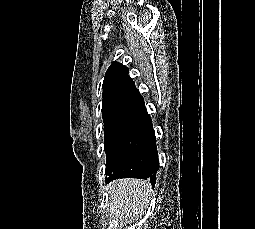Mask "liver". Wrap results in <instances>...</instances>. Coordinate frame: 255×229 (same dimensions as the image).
<instances>
[{
	"label": "liver",
	"mask_w": 255,
	"mask_h": 229,
	"mask_svg": "<svg viewBox=\"0 0 255 229\" xmlns=\"http://www.w3.org/2000/svg\"><path fill=\"white\" fill-rule=\"evenodd\" d=\"M109 205L120 221L138 219L148 207L152 195L149 181L116 180L108 186Z\"/></svg>",
	"instance_id": "1"
}]
</instances>
